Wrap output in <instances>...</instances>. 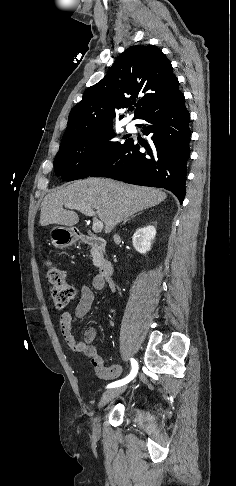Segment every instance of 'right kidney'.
Segmentation results:
<instances>
[{
  "mask_svg": "<svg viewBox=\"0 0 236 486\" xmlns=\"http://www.w3.org/2000/svg\"><path fill=\"white\" fill-rule=\"evenodd\" d=\"M156 229L149 225L138 229L132 238V243L136 251L145 254L151 249L152 240L155 238Z\"/></svg>",
  "mask_w": 236,
  "mask_h": 486,
  "instance_id": "ca27d5eb",
  "label": "right kidney"
}]
</instances>
